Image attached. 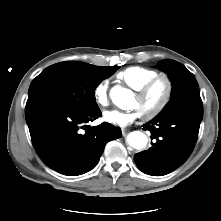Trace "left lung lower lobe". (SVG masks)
I'll return each instance as SVG.
<instances>
[{
    "label": "left lung lower lobe",
    "mask_w": 221,
    "mask_h": 221,
    "mask_svg": "<svg viewBox=\"0 0 221 221\" xmlns=\"http://www.w3.org/2000/svg\"><path fill=\"white\" fill-rule=\"evenodd\" d=\"M202 117V101H197L157 116L145 124L143 129L149 130L156 142L149 150L135 154L137 167L152 176H162L176 170L193 151Z\"/></svg>",
    "instance_id": "0a47b994"
}]
</instances>
